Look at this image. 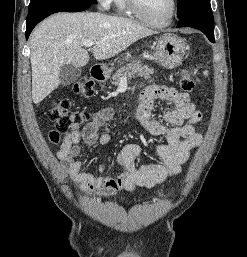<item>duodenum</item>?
<instances>
[{
  "label": "duodenum",
  "mask_w": 247,
  "mask_h": 257,
  "mask_svg": "<svg viewBox=\"0 0 247 257\" xmlns=\"http://www.w3.org/2000/svg\"><path fill=\"white\" fill-rule=\"evenodd\" d=\"M91 77L93 80L96 82H102L105 79V73L104 70L101 66L95 65L91 68Z\"/></svg>",
  "instance_id": "1"
}]
</instances>
